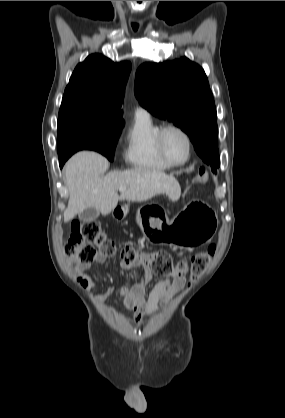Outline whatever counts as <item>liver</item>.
Here are the masks:
<instances>
[{
  "label": "liver",
  "mask_w": 285,
  "mask_h": 418,
  "mask_svg": "<svg viewBox=\"0 0 285 418\" xmlns=\"http://www.w3.org/2000/svg\"><path fill=\"white\" fill-rule=\"evenodd\" d=\"M109 167L102 155L82 151L72 156L65 165V182L69 191L64 222H69L86 208L94 207L103 215L114 210L118 201L143 202L165 193L172 201L181 195L178 181L163 171L134 168L101 176ZM120 187L125 190L118 195Z\"/></svg>",
  "instance_id": "1"
}]
</instances>
